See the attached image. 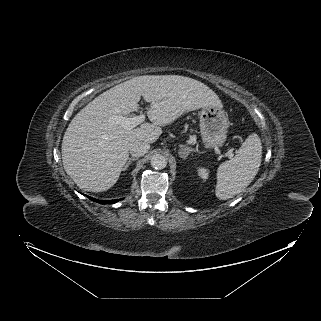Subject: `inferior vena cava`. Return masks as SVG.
Returning <instances> with one entry per match:
<instances>
[{
	"mask_svg": "<svg viewBox=\"0 0 321 321\" xmlns=\"http://www.w3.org/2000/svg\"><path fill=\"white\" fill-rule=\"evenodd\" d=\"M149 148H150L149 143L139 141L131 144L129 150L132 156L141 157L148 152Z\"/></svg>",
	"mask_w": 321,
	"mask_h": 321,
	"instance_id": "602c4592",
	"label": "inferior vena cava"
}]
</instances>
